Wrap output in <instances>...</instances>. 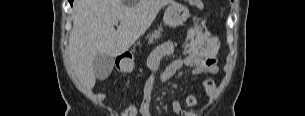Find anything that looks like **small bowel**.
Instances as JSON below:
<instances>
[{
    "instance_id": "small-bowel-1",
    "label": "small bowel",
    "mask_w": 305,
    "mask_h": 116,
    "mask_svg": "<svg viewBox=\"0 0 305 116\" xmlns=\"http://www.w3.org/2000/svg\"><path fill=\"white\" fill-rule=\"evenodd\" d=\"M218 51V43L215 39H201L195 50L188 53L183 58H176L167 66H162V60L173 54L174 45L170 41H166L158 46L150 55L148 65L153 75L144 85L142 99L140 101V116H151L150 102L151 93L157 81H167L172 78L175 73L184 66L191 67L195 75L216 74L218 72L216 53ZM202 87L207 94L213 93L216 84L212 79H204ZM198 100L194 95H188L185 98V104L189 108L197 105ZM172 111L178 116H197L196 114L187 112L183 109L179 100H173L171 103Z\"/></svg>"
}]
</instances>
